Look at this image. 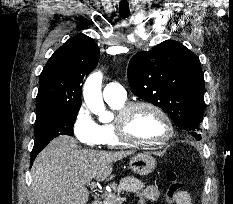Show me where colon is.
I'll return each mask as SVG.
<instances>
[{
	"label": "colon",
	"mask_w": 233,
	"mask_h": 204,
	"mask_svg": "<svg viewBox=\"0 0 233 204\" xmlns=\"http://www.w3.org/2000/svg\"><path fill=\"white\" fill-rule=\"evenodd\" d=\"M167 180L169 181V188L167 191V199L174 201L181 193H183L184 185L179 180L177 174L174 171H168L166 173Z\"/></svg>",
	"instance_id": "colon-1"
}]
</instances>
